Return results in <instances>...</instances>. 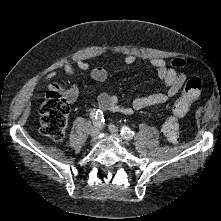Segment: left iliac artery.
<instances>
[{"mask_svg":"<svg viewBox=\"0 0 221 221\" xmlns=\"http://www.w3.org/2000/svg\"><path fill=\"white\" fill-rule=\"evenodd\" d=\"M134 132L130 130L127 126H123L121 129V136L125 140H130L134 137Z\"/></svg>","mask_w":221,"mask_h":221,"instance_id":"44dca946","label":"left iliac artery"}]
</instances>
